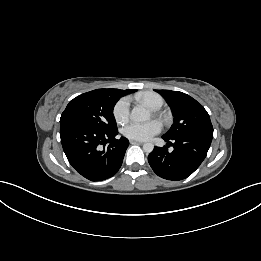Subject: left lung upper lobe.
<instances>
[{"label": "left lung upper lobe", "mask_w": 261, "mask_h": 261, "mask_svg": "<svg viewBox=\"0 0 261 261\" xmlns=\"http://www.w3.org/2000/svg\"><path fill=\"white\" fill-rule=\"evenodd\" d=\"M168 102L174 115V123L164 134L174 138L187 134L213 135V126L205 108L191 96L170 90H155Z\"/></svg>", "instance_id": "1"}]
</instances>
